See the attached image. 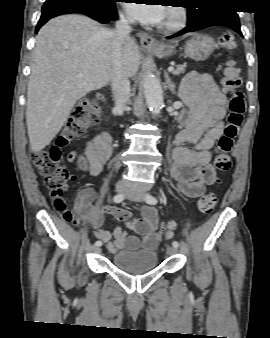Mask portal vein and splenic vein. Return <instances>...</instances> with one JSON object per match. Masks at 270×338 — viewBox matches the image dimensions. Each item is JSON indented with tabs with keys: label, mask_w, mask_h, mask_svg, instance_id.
<instances>
[{
	"label": "portal vein and splenic vein",
	"mask_w": 270,
	"mask_h": 338,
	"mask_svg": "<svg viewBox=\"0 0 270 338\" xmlns=\"http://www.w3.org/2000/svg\"><path fill=\"white\" fill-rule=\"evenodd\" d=\"M173 70H174V67H173V66L168 67V71H169V72H172ZM78 76H79V77H83V74H79Z\"/></svg>",
	"instance_id": "1"
}]
</instances>
